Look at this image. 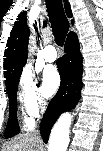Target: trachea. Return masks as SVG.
I'll return each instance as SVG.
<instances>
[{
    "label": "trachea",
    "instance_id": "trachea-1",
    "mask_svg": "<svg viewBox=\"0 0 103 151\" xmlns=\"http://www.w3.org/2000/svg\"><path fill=\"white\" fill-rule=\"evenodd\" d=\"M45 1L55 42L62 46L69 30V22L64 13L62 0Z\"/></svg>",
    "mask_w": 103,
    "mask_h": 151
}]
</instances>
